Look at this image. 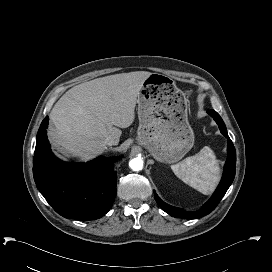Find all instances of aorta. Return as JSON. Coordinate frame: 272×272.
<instances>
[{
    "mask_svg": "<svg viewBox=\"0 0 272 272\" xmlns=\"http://www.w3.org/2000/svg\"><path fill=\"white\" fill-rule=\"evenodd\" d=\"M129 167L133 171H141L143 169V160L140 157H136L130 160Z\"/></svg>",
    "mask_w": 272,
    "mask_h": 272,
    "instance_id": "762f6f07",
    "label": "aorta"
}]
</instances>
